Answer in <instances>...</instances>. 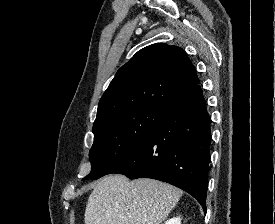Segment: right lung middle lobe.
<instances>
[{
    "label": "right lung middle lobe",
    "instance_id": "1",
    "mask_svg": "<svg viewBox=\"0 0 275 224\" xmlns=\"http://www.w3.org/2000/svg\"><path fill=\"white\" fill-rule=\"evenodd\" d=\"M166 109L147 106L93 127L89 157L91 172L83 179H98L123 161L151 132Z\"/></svg>",
    "mask_w": 275,
    "mask_h": 224
}]
</instances>
